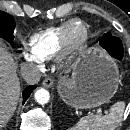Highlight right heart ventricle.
I'll use <instances>...</instances> for the list:
<instances>
[{
	"mask_svg": "<svg viewBox=\"0 0 130 130\" xmlns=\"http://www.w3.org/2000/svg\"><path fill=\"white\" fill-rule=\"evenodd\" d=\"M70 21L32 34L26 42L30 56L37 61H44L56 55L61 49L63 34Z\"/></svg>",
	"mask_w": 130,
	"mask_h": 130,
	"instance_id": "1",
	"label": "right heart ventricle"
}]
</instances>
